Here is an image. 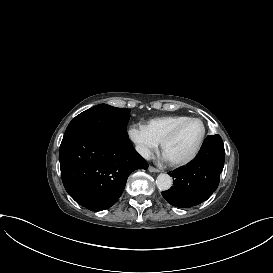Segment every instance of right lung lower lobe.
Segmentation results:
<instances>
[{
  "instance_id": "98d812e1",
  "label": "right lung lower lobe",
  "mask_w": 273,
  "mask_h": 273,
  "mask_svg": "<svg viewBox=\"0 0 273 273\" xmlns=\"http://www.w3.org/2000/svg\"><path fill=\"white\" fill-rule=\"evenodd\" d=\"M59 160L66 191L91 211L110 208L121 196L131 172L148 168L129 140L92 134L64 137Z\"/></svg>"
}]
</instances>
